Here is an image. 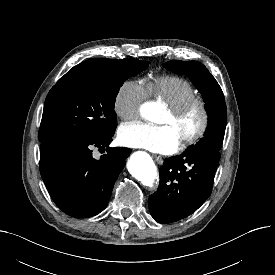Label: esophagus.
I'll list each match as a JSON object with an SVG mask.
<instances>
[{"label":"esophagus","mask_w":275,"mask_h":275,"mask_svg":"<svg viewBox=\"0 0 275 275\" xmlns=\"http://www.w3.org/2000/svg\"><path fill=\"white\" fill-rule=\"evenodd\" d=\"M153 157H154L155 161H156L158 164H160V165L163 164V159H162L161 156H159V155H154Z\"/></svg>","instance_id":"1"}]
</instances>
